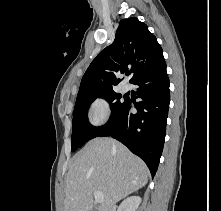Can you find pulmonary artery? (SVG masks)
I'll return each instance as SVG.
<instances>
[{
    "mask_svg": "<svg viewBox=\"0 0 221 211\" xmlns=\"http://www.w3.org/2000/svg\"><path fill=\"white\" fill-rule=\"evenodd\" d=\"M122 90H123L124 92L129 91V85L126 84V83H124V84L122 85Z\"/></svg>",
    "mask_w": 221,
    "mask_h": 211,
    "instance_id": "obj_1",
    "label": "pulmonary artery"
}]
</instances>
